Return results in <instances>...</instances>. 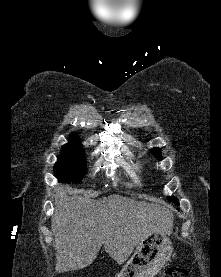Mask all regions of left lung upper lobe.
<instances>
[{"instance_id":"obj_1","label":"left lung upper lobe","mask_w":221,"mask_h":277,"mask_svg":"<svg viewBox=\"0 0 221 277\" xmlns=\"http://www.w3.org/2000/svg\"><path fill=\"white\" fill-rule=\"evenodd\" d=\"M150 151H151V152L153 153V155H155L157 158H161L162 153H161V151H160L159 149L153 148V149H151ZM167 199H168L169 201H172V202L176 203V204H179L178 199L175 198L174 196H169V197H167Z\"/></svg>"}]
</instances>
